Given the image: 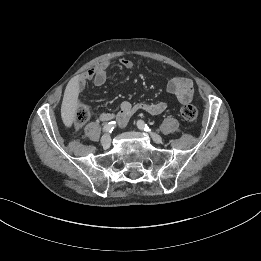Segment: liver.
Listing matches in <instances>:
<instances>
[{
	"mask_svg": "<svg viewBox=\"0 0 261 261\" xmlns=\"http://www.w3.org/2000/svg\"><path fill=\"white\" fill-rule=\"evenodd\" d=\"M79 96V80L72 78L65 89L62 106L61 116L66 124H72L76 116Z\"/></svg>",
	"mask_w": 261,
	"mask_h": 261,
	"instance_id": "6515ba94",
	"label": "liver"
}]
</instances>
